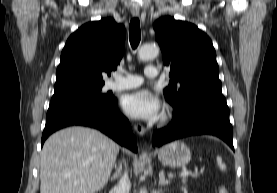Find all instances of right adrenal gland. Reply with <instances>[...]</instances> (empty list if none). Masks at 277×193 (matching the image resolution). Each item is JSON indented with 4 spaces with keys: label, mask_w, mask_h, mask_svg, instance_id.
Instances as JSON below:
<instances>
[{
    "label": "right adrenal gland",
    "mask_w": 277,
    "mask_h": 193,
    "mask_svg": "<svg viewBox=\"0 0 277 193\" xmlns=\"http://www.w3.org/2000/svg\"><path fill=\"white\" fill-rule=\"evenodd\" d=\"M122 171V164L119 163V166L117 167L116 172L113 174V176L110 178L111 181L117 180L121 176Z\"/></svg>",
    "instance_id": "1"
}]
</instances>
